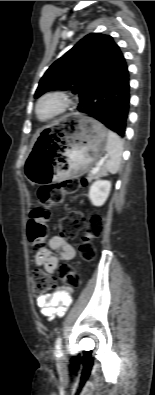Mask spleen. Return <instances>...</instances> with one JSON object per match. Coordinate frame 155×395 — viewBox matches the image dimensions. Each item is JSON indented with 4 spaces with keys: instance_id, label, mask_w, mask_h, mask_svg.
<instances>
[{
    "instance_id": "spleen-1",
    "label": "spleen",
    "mask_w": 155,
    "mask_h": 395,
    "mask_svg": "<svg viewBox=\"0 0 155 395\" xmlns=\"http://www.w3.org/2000/svg\"><path fill=\"white\" fill-rule=\"evenodd\" d=\"M105 150L108 154V160L105 164V170L111 174L118 172L122 159L123 142L120 137L112 131H107V142Z\"/></svg>"
}]
</instances>
